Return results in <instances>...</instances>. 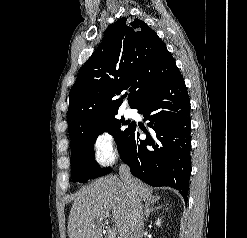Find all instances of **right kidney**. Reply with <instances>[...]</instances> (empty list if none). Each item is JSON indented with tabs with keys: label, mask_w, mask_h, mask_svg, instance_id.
Instances as JSON below:
<instances>
[{
	"label": "right kidney",
	"mask_w": 247,
	"mask_h": 238,
	"mask_svg": "<svg viewBox=\"0 0 247 238\" xmlns=\"http://www.w3.org/2000/svg\"><path fill=\"white\" fill-rule=\"evenodd\" d=\"M160 224H161V219L158 218L157 221H156V225L160 226Z\"/></svg>",
	"instance_id": "ca27d5eb"
}]
</instances>
